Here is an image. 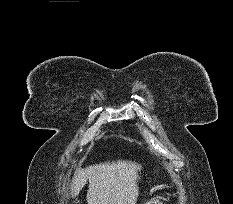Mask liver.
<instances>
[{
    "instance_id": "liver-1",
    "label": "liver",
    "mask_w": 233,
    "mask_h": 204,
    "mask_svg": "<svg viewBox=\"0 0 233 204\" xmlns=\"http://www.w3.org/2000/svg\"><path fill=\"white\" fill-rule=\"evenodd\" d=\"M142 166L136 162L117 160L78 169L71 184L76 197L89 180L88 204H135L139 195L138 180Z\"/></svg>"
}]
</instances>
